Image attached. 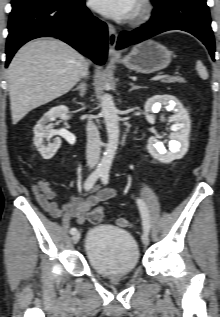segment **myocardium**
Listing matches in <instances>:
<instances>
[{"instance_id":"1","label":"myocardium","mask_w":220,"mask_h":317,"mask_svg":"<svg viewBox=\"0 0 220 317\" xmlns=\"http://www.w3.org/2000/svg\"><path fill=\"white\" fill-rule=\"evenodd\" d=\"M153 6L149 0H138L133 21L142 23L149 20L153 14Z\"/></svg>"}]
</instances>
